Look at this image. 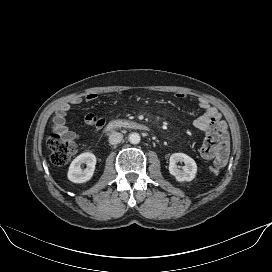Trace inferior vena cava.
I'll return each mask as SVG.
<instances>
[{"label":"inferior vena cava","instance_id":"1","mask_svg":"<svg viewBox=\"0 0 272 272\" xmlns=\"http://www.w3.org/2000/svg\"><path fill=\"white\" fill-rule=\"evenodd\" d=\"M123 139V135L118 132H112L109 136V143L112 145H116L121 142Z\"/></svg>","mask_w":272,"mask_h":272}]
</instances>
